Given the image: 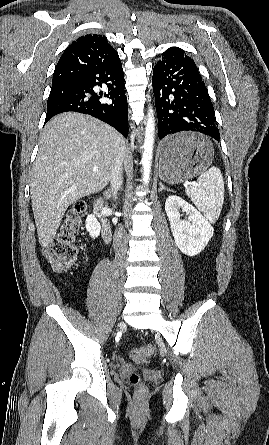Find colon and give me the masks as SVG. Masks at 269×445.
Masks as SVG:
<instances>
[{"instance_id": "obj_1", "label": "colon", "mask_w": 269, "mask_h": 445, "mask_svg": "<svg viewBox=\"0 0 269 445\" xmlns=\"http://www.w3.org/2000/svg\"><path fill=\"white\" fill-rule=\"evenodd\" d=\"M85 209L86 205L82 201L73 204L67 210L57 236L44 250L45 258L57 270H66L77 260L78 247L76 242ZM152 354L153 348L151 346L135 347L130 350L131 357L138 363H147ZM128 382L139 395L145 393V386L141 383L138 374L132 373Z\"/></svg>"}]
</instances>
